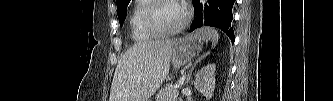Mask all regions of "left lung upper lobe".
<instances>
[{
    "label": "left lung upper lobe",
    "mask_w": 333,
    "mask_h": 101,
    "mask_svg": "<svg viewBox=\"0 0 333 101\" xmlns=\"http://www.w3.org/2000/svg\"><path fill=\"white\" fill-rule=\"evenodd\" d=\"M117 2V15L119 18V22L123 23L126 16V8L129 5L130 0H116Z\"/></svg>",
    "instance_id": "1"
}]
</instances>
